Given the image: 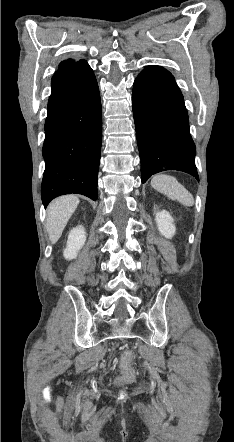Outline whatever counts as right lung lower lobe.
<instances>
[{
  "mask_svg": "<svg viewBox=\"0 0 234 442\" xmlns=\"http://www.w3.org/2000/svg\"><path fill=\"white\" fill-rule=\"evenodd\" d=\"M45 121L41 186L45 206L55 197L78 193L97 200L102 111L96 78L84 64L56 72Z\"/></svg>",
  "mask_w": 234,
  "mask_h": 442,
  "instance_id": "right-lung-lower-lobe-1",
  "label": "right lung lower lobe"
}]
</instances>
